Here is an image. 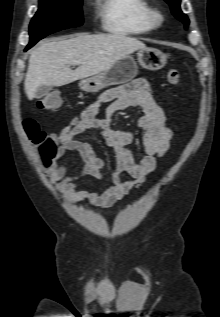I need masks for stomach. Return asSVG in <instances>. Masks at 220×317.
<instances>
[{
    "mask_svg": "<svg viewBox=\"0 0 220 317\" xmlns=\"http://www.w3.org/2000/svg\"><path fill=\"white\" fill-rule=\"evenodd\" d=\"M167 63L164 53L155 48H144L137 52V61L127 55L117 61L110 69L79 82V88L86 92H98L111 85L123 84L134 79L138 64L148 70H159Z\"/></svg>",
    "mask_w": 220,
    "mask_h": 317,
    "instance_id": "0dacf381",
    "label": "stomach"
}]
</instances>
